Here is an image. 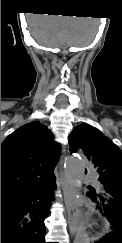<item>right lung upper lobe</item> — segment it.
Here are the masks:
<instances>
[{
  "label": "right lung upper lobe",
  "instance_id": "1",
  "mask_svg": "<svg viewBox=\"0 0 122 243\" xmlns=\"http://www.w3.org/2000/svg\"><path fill=\"white\" fill-rule=\"evenodd\" d=\"M60 146L45 125L25 124L1 144V195L53 174Z\"/></svg>",
  "mask_w": 122,
  "mask_h": 243
}]
</instances>
